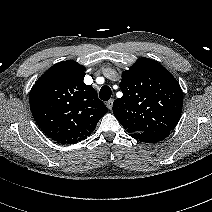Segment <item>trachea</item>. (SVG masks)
<instances>
[{"label": "trachea", "mask_w": 212, "mask_h": 212, "mask_svg": "<svg viewBox=\"0 0 212 212\" xmlns=\"http://www.w3.org/2000/svg\"><path fill=\"white\" fill-rule=\"evenodd\" d=\"M111 93H112L111 88L109 86L105 85L100 89L99 97L103 101H108L111 97Z\"/></svg>", "instance_id": "trachea-1"}]
</instances>
